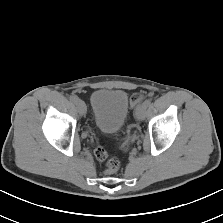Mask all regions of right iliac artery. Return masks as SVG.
I'll list each match as a JSON object with an SVG mask.
<instances>
[{
    "label": "right iliac artery",
    "mask_w": 223,
    "mask_h": 223,
    "mask_svg": "<svg viewBox=\"0 0 223 223\" xmlns=\"http://www.w3.org/2000/svg\"><path fill=\"white\" fill-rule=\"evenodd\" d=\"M77 100H78V98L75 95L70 96V101L71 102L76 103Z\"/></svg>",
    "instance_id": "82829eb1"
}]
</instances>
